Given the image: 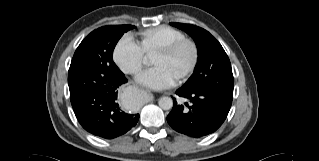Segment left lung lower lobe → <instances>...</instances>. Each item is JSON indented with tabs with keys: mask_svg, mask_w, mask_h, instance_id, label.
Here are the masks:
<instances>
[{
	"mask_svg": "<svg viewBox=\"0 0 319 161\" xmlns=\"http://www.w3.org/2000/svg\"><path fill=\"white\" fill-rule=\"evenodd\" d=\"M176 94L188 100L178 105L175 98L168 124L177 132L199 138L215 132L226 119L231 100L216 94L195 89L179 88Z\"/></svg>",
	"mask_w": 319,
	"mask_h": 161,
	"instance_id": "1",
	"label": "left lung lower lobe"
}]
</instances>
